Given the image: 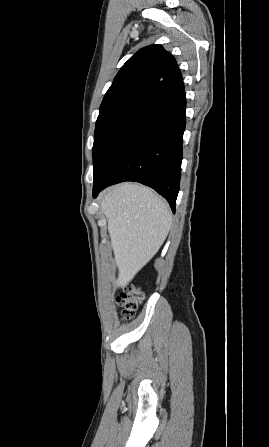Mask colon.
Wrapping results in <instances>:
<instances>
[{"mask_svg":"<svg viewBox=\"0 0 269 447\" xmlns=\"http://www.w3.org/2000/svg\"><path fill=\"white\" fill-rule=\"evenodd\" d=\"M143 299V292L137 287H128L124 289L116 298V304L120 308L121 318L131 319L139 309Z\"/></svg>","mask_w":269,"mask_h":447,"instance_id":"obj_1","label":"colon"}]
</instances>
